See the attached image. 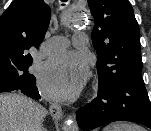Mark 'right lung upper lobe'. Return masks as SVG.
<instances>
[{"mask_svg":"<svg viewBox=\"0 0 151 131\" xmlns=\"http://www.w3.org/2000/svg\"><path fill=\"white\" fill-rule=\"evenodd\" d=\"M44 0H14L0 17V54H27L38 48L50 21Z\"/></svg>","mask_w":151,"mask_h":131,"instance_id":"cb5924a9","label":"right lung upper lobe"}]
</instances>
